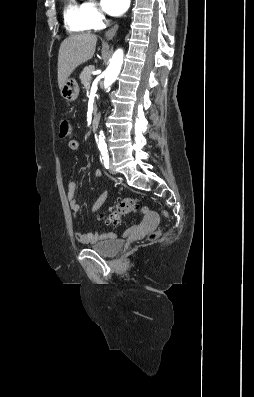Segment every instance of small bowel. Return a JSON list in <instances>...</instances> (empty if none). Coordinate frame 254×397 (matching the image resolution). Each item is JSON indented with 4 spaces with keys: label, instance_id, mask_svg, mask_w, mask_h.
Returning a JSON list of instances; mask_svg holds the SVG:
<instances>
[{
    "label": "small bowel",
    "instance_id": "small-bowel-1",
    "mask_svg": "<svg viewBox=\"0 0 254 397\" xmlns=\"http://www.w3.org/2000/svg\"><path fill=\"white\" fill-rule=\"evenodd\" d=\"M68 147L70 150L76 151L79 149V142L75 139H72L68 142ZM95 176L97 178H101L103 176V174L100 170H96ZM76 189H77V185L75 182L71 181L68 183L67 198H68L70 210L74 216H76L78 214V212L81 210V205L75 198ZM107 196H108L107 191L106 190L102 191L101 194L98 196V198L95 200V202L92 204L90 211L96 212L103 205V203L106 201ZM143 214L145 215V217L148 221L153 216L152 213L147 209L143 210ZM75 238L80 243L89 244V243H97L100 241L113 239V238H115V234L112 232H103V233L76 232Z\"/></svg>",
    "mask_w": 254,
    "mask_h": 397
}]
</instances>
